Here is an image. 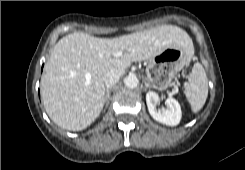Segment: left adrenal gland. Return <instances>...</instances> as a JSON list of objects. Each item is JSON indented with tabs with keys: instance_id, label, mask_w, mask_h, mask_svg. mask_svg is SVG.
Here are the masks:
<instances>
[{
	"instance_id": "left-adrenal-gland-1",
	"label": "left adrenal gland",
	"mask_w": 245,
	"mask_h": 170,
	"mask_svg": "<svg viewBox=\"0 0 245 170\" xmlns=\"http://www.w3.org/2000/svg\"><path fill=\"white\" fill-rule=\"evenodd\" d=\"M145 88L144 91H147V88H151V85L147 82L146 78H144Z\"/></svg>"
}]
</instances>
